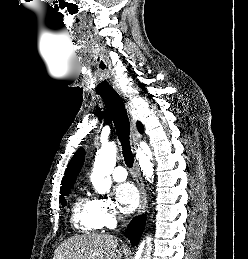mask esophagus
Returning a JSON list of instances; mask_svg holds the SVG:
<instances>
[{
  "instance_id": "obj_1",
  "label": "esophagus",
  "mask_w": 248,
  "mask_h": 259,
  "mask_svg": "<svg viewBox=\"0 0 248 259\" xmlns=\"http://www.w3.org/2000/svg\"><path fill=\"white\" fill-rule=\"evenodd\" d=\"M117 94L121 97V99L124 102L125 108L129 114L130 122H131V132H132V140L134 145V150H136L139 141L141 139V134L139 133L136 123H137V116L135 114V109L130 101V99L121 91L117 90ZM133 173L134 177L139 189L140 193V204L138 208V215L143 214L147 207V194L146 189L144 187V183L141 178V174L138 167V162L136 158L134 157V164H133Z\"/></svg>"
}]
</instances>
